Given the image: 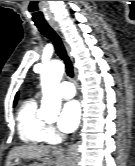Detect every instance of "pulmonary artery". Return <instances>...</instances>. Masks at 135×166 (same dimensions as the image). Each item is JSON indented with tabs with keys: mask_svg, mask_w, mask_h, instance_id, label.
Segmentation results:
<instances>
[{
	"mask_svg": "<svg viewBox=\"0 0 135 166\" xmlns=\"http://www.w3.org/2000/svg\"><path fill=\"white\" fill-rule=\"evenodd\" d=\"M59 93L63 98H72L75 95V88L69 81H63L60 84Z\"/></svg>",
	"mask_w": 135,
	"mask_h": 166,
	"instance_id": "obj_1",
	"label": "pulmonary artery"
}]
</instances>
